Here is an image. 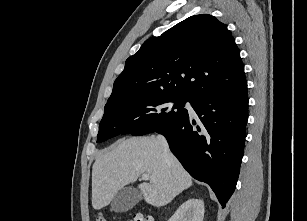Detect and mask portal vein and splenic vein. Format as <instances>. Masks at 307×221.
I'll list each match as a JSON object with an SVG mask.
<instances>
[{"label": "portal vein and splenic vein", "instance_id": "portal-vein-and-splenic-vein-1", "mask_svg": "<svg viewBox=\"0 0 307 221\" xmlns=\"http://www.w3.org/2000/svg\"><path fill=\"white\" fill-rule=\"evenodd\" d=\"M142 179L143 180H150V181H155V177L151 176L149 174H142Z\"/></svg>", "mask_w": 307, "mask_h": 221}]
</instances>
